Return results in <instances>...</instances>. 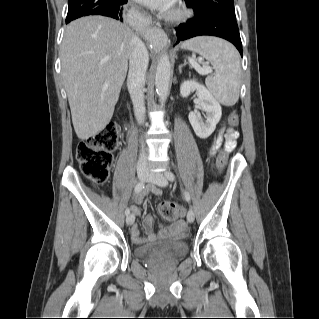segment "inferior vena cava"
Here are the masks:
<instances>
[{"label": "inferior vena cava", "mask_w": 319, "mask_h": 319, "mask_svg": "<svg viewBox=\"0 0 319 319\" xmlns=\"http://www.w3.org/2000/svg\"><path fill=\"white\" fill-rule=\"evenodd\" d=\"M128 89L134 107L135 117L139 124L144 122L145 106L143 87L148 68L149 55L145 44L135 35L130 43ZM137 169H148L147 155L144 150L140 153Z\"/></svg>", "instance_id": "1"}]
</instances>
